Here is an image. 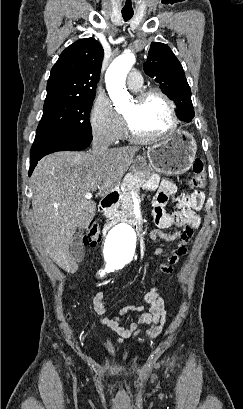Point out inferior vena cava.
<instances>
[{
	"mask_svg": "<svg viewBox=\"0 0 243 409\" xmlns=\"http://www.w3.org/2000/svg\"><path fill=\"white\" fill-rule=\"evenodd\" d=\"M109 145L110 143L103 137L94 136L91 153L94 155L103 154L108 150Z\"/></svg>",
	"mask_w": 243,
	"mask_h": 409,
	"instance_id": "inferior-vena-cava-1",
	"label": "inferior vena cava"
}]
</instances>
